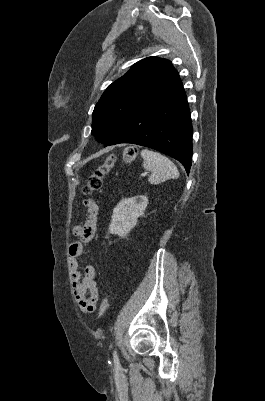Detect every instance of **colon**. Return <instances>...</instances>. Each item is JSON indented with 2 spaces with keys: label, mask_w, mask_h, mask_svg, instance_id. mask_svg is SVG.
Returning <instances> with one entry per match:
<instances>
[{
  "label": "colon",
  "mask_w": 265,
  "mask_h": 401,
  "mask_svg": "<svg viewBox=\"0 0 265 401\" xmlns=\"http://www.w3.org/2000/svg\"><path fill=\"white\" fill-rule=\"evenodd\" d=\"M137 155V149L135 147H126L123 151V158L127 162H131ZM115 164V157L113 155L108 156L104 162L89 176L86 184L83 187V192L90 194L98 191L103 185L105 176L111 171ZM109 299L105 293L100 306V317H103L108 309Z\"/></svg>",
  "instance_id": "5ec220e1"
}]
</instances>
